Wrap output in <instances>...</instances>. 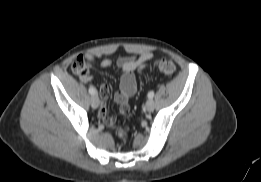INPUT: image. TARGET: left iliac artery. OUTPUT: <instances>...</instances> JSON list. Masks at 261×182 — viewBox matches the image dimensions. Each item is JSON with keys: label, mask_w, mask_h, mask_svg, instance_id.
Masks as SVG:
<instances>
[{"label": "left iliac artery", "mask_w": 261, "mask_h": 182, "mask_svg": "<svg viewBox=\"0 0 261 182\" xmlns=\"http://www.w3.org/2000/svg\"><path fill=\"white\" fill-rule=\"evenodd\" d=\"M148 97H149V98H153V97H154V92H153V91H150V92L148 93Z\"/></svg>", "instance_id": "left-iliac-artery-1"}]
</instances>
